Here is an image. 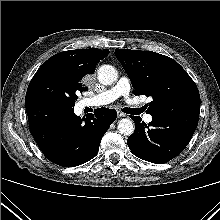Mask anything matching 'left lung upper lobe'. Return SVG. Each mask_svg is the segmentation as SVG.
<instances>
[{
  "mask_svg": "<svg viewBox=\"0 0 220 220\" xmlns=\"http://www.w3.org/2000/svg\"><path fill=\"white\" fill-rule=\"evenodd\" d=\"M114 54L129 76L135 95L151 96L150 115L165 110L200 109L198 88L173 59L152 51L115 49Z\"/></svg>",
  "mask_w": 220,
  "mask_h": 220,
  "instance_id": "obj_1",
  "label": "left lung upper lobe"
}]
</instances>
